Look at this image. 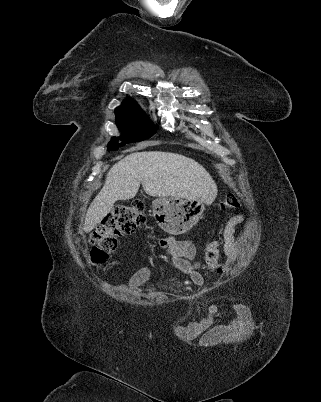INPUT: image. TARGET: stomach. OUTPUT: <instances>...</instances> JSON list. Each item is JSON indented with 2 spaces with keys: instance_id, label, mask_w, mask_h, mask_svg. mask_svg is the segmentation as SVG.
Wrapping results in <instances>:
<instances>
[{
  "instance_id": "0dacf381",
  "label": "stomach",
  "mask_w": 321,
  "mask_h": 402,
  "mask_svg": "<svg viewBox=\"0 0 321 402\" xmlns=\"http://www.w3.org/2000/svg\"><path fill=\"white\" fill-rule=\"evenodd\" d=\"M206 204L203 198L158 197L152 202L153 217L163 231L181 235L202 218Z\"/></svg>"
}]
</instances>
